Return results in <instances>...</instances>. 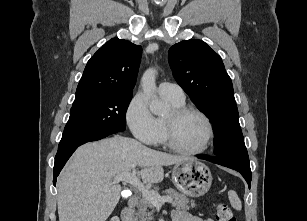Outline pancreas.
<instances>
[{"mask_svg":"<svg viewBox=\"0 0 307 221\" xmlns=\"http://www.w3.org/2000/svg\"><path fill=\"white\" fill-rule=\"evenodd\" d=\"M158 194V189L151 190ZM165 193L172 198V205L177 209L189 210L194 208V202H189V199L181 193H178L172 188L165 190ZM190 203V204H189ZM154 206L149 203L144 197H142L137 205V211L134 212L131 220L132 221H151L153 219Z\"/></svg>","mask_w":307,"mask_h":221,"instance_id":"1","label":"pancreas"}]
</instances>
